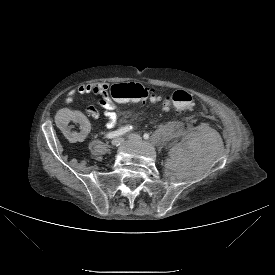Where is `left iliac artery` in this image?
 Returning a JSON list of instances; mask_svg holds the SVG:
<instances>
[{"mask_svg":"<svg viewBox=\"0 0 275 275\" xmlns=\"http://www.w3.org/2000/svg\"><path fill=\"white\" fill-rule=\"evenodd\" d=\"M143 138H144V139H148V138H149V134L145 133V134L143 135Z\"/></svg>","mask_w":275,"mask_h":275,"instance_id":"1","label":"left iliac artery"}]
</instances>
